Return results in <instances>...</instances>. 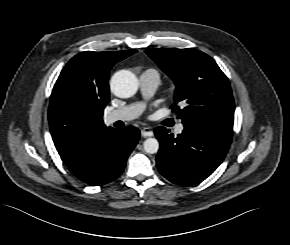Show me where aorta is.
I'll list each match as a JSON object with an SVG mask.
<instances>
[{
	"label": "aorta",
	"instance_id": "aorta-1",
	"mask_svg": "<svg viewBox=\"0 0 290 245\" xmlns=\"http://www.w3.org/2000/svg\"><path fill=\"white\" fill-rule=\"evenodd\" d=\"M112 92L120 98H128L133 96L138 88L136 76L128 70L116 72L110 82ZM146 153L155 154L159 150V142L155 138H148L143 143Z\"/></svg>",
	"mask_w": 290,
	"mask_h": 245
}]
</instances>
